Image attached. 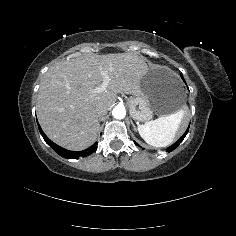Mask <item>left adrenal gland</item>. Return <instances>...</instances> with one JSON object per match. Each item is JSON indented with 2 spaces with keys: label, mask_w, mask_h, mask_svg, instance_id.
I'll use <instances>...</instances> for the list:
<instances>
[{
  "label": "left adrenal gland",
  "mask_w": 236,
  "mask_h": 236,
  "mask_svg": "<svg viewBox=\"0 0 236 236\" xmlns=\"http://www.w3.org/2000/svg\"><path fill=\"white\" fill-rule=\"evenodd\" d=\"M130 122H131V124H132V126H133V130L137 132V129H136V127H135L133 121L131 120Z\"/></svg>",
  "instance_id": "left-adrenal-gland-1"
}]
</instances>
